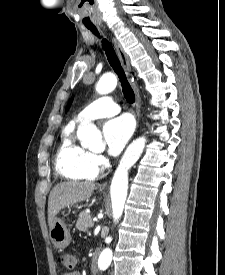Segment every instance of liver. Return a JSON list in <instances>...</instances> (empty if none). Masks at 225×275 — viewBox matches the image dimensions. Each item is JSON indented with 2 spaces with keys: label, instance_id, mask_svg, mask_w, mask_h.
I'll return each instance as SVG.
<instances>
[{
  "label": "liver",
  "instance_id": "liver-1",
  "mask_svg": "<svg viewBox=\"0 0 225 275\" xmlns=\"http://www.w3.org/2000/svg\"><path fill=\"white\" fill-rule=\"evenodd\" d=\"M95 184L90 182H62L54 186L48 199V224L53 222L60 210L70 205L88 200Z\"/></svg>",
  "mask_w": 225,
  "mask_h": 275
}]
</instances>
